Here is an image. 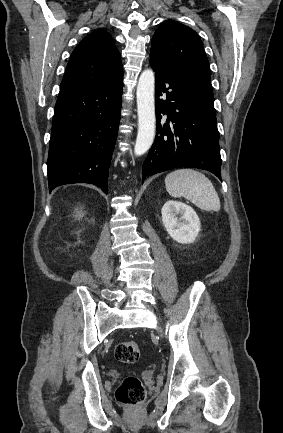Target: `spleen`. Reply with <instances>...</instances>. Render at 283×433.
I'll return each instance as SVG.
<instances>
[{
    "label": "spleen",
    "instance_id": "3e777b00",
    "mask_svg": "<svg viewBox=\"0 0 283 433\" xmlns=\"http://www.w3.org/2000/svg\"><path fill=\"white\" fill-rule=\"evenodd\" d=\"M165 186L171 196H184L202 210H220V198L211 180L198 170H173L167 174Z\"/></svg>",
    "mask_w": 283,
    "mask_h": 433
}]
</instances>
